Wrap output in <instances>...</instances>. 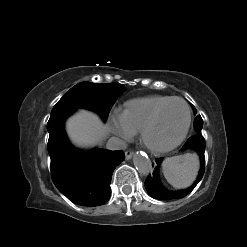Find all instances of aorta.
<instances>
[{"label":"aorta","mask_w":247,"mask_h":247,"mask_svg":"<svg viewBox=\"0 0 247 247\" xmlns=\"http://www.w3.org/2000/svg\"><path fill=\"white\" fill-rule=\"evenodd\" d=\"M134 166L142 175H147L152 171V162L147 155L136 154L133 158Z\"/></svg>","instance_id":"obj_1"}]
</instances>
